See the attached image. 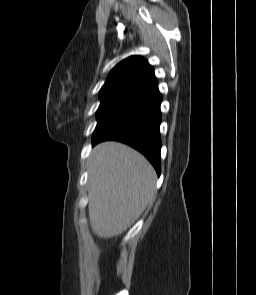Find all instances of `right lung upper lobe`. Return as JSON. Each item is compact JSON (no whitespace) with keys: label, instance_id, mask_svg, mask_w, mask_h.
Masks as SVG:
<instances>
[{"label":"right lung upper lobe","instance_id":"1","mask_svg":"<svg viewBox=\"0 0 256 295\" xmlns=\"http://www.w3.org/2000/svg\"><path fill=\"white\" fill-rule=\"evenodd\" d=\"M157 83L153 67L141 56L121 61L100 90V100L134 99Z\"/></svg>","mask_w":256,"mask_h":295}]
</instances>
